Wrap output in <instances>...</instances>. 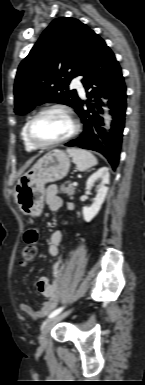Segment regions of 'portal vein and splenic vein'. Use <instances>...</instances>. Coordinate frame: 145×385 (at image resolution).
Wrapping results in <instances>:
<instances>
[{"label": "portal vein and splenic vein", "mask_w": 145, "mask_h": 385, "mask_svg": "<svg viewBox=\"0 0 145 385\" xmlns=\"http://www.w3.org/2000/svg\"><path fill=\"white\" fill-rule=\"evenodd\" d=\"M78 185V183L77 182H73V186H77Z\"/></svg>", "instance_id": "portal-vein-and-splenic-vein-1"}]
</instances>
